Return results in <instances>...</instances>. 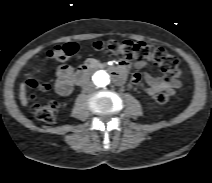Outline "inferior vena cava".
<instances>
[{"label":"inferior vena cava","instance_id":"602c4592","mask_svg":"<svg viewBox=\"0 0 212 183\" xmlns=\"http://www.w3.org/2000/svg\"><path fill=\"white\" fill-rule=\"evenodd\" d=\"M95 90V87L92 83L87 82L83 85V91L86 93H90Z\"/></svg>","mask_w":212,"mask_h":183}]
</instances>
